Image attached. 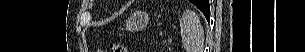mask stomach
<instances>
[{
	"mask_svg": "<svg viewBox=\"0 0 305 52\" xmlns=\"http://www.w3.org/2000/svg\"><path fill=\"white\" fill-rule=\"evenodd\" d=\"M148 21L149 17L146 13L137 11L127 19L126 25L132 30H140L147 25Z\"/></svg>",
	"mask_w": 305,
	"mask_h": 52,
	"instance_id": "0dacf381",
	"label": "stomach"
}]
</instances>
